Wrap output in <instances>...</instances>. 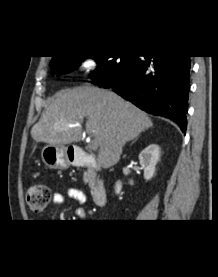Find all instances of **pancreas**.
<instances>
[{"mask_svg":"<svg viewBox=\"0 0 218 277\" xmlns=\"http://www.w3.org/2000/svg\"><path fill=\"white\" fill-rule=\"evenodd\" d=\"M89 173H90L89 171L84 173V182L85 183L89 182Z\"/></svg>","mask_w":218,"mask_h":277,"instance_id":"obj_1","label":"pancreas"}]
</instances>
